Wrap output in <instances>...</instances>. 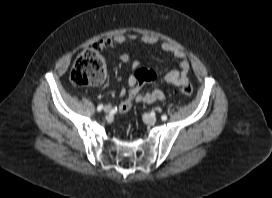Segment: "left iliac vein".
Listing matches in <instances>:
<instances>
[{
    "label": "left iliac vein",
    "instance_id": "obj_1",
    "mask_svg": "<svg viewBox=\"0 0 272 198\" xmlns=\"http://www.w3.org/2000/svg\"><path fill=\"white\" fill-rule=\"evenodd\" d=\"M144 120L148 123V124H155L157 119L155 116H152L150 114H145L144 115Z\"/></svg>",
    "mask_w": 272,
    "mask_h": 198
}]
</instances>
